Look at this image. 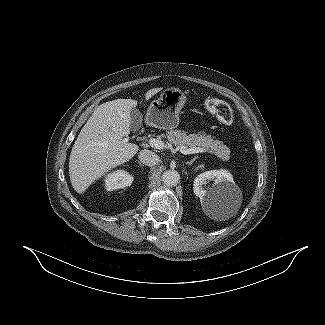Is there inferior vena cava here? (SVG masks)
I'll return each mask as SVG.
<instances>
[{
  "mask_svg": "<svg viewBox=\"0 0 325 325\" xmlns=\"http://www.w3.org/2000/svg\"><path fill=\"white\" fill-rule=\"evenodd\" d=\"M138 157L139 160L147 166H154L159 162V156L147 149L141 150Z\"/></svg>",
  "mask_w": 325,
  "mask_h": 325,
  "instance_id": "602c4592",
  "label": "inferior vena cava"
}]
</instances>
